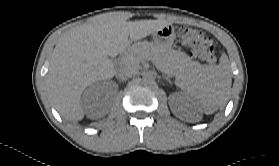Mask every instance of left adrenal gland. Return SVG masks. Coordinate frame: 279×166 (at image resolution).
I'll return each instance as SVG.
<instances>
[{"label":"left adrenal gland","instance_id":"1","mask_svg":"<svg viewBox=\"0 0 279 166\" xmlns=\"http://www.w3.org/2000/svg\"><path fill=\"white\" fill-rule=\"evenodd\" d=\"M168 82H170L169 78L167 76L164 77Z\"/></svg>","mask_w":279,"mask_h":166}]
</instances>
